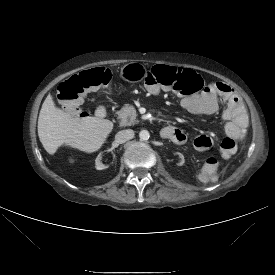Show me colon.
I'll return each mask as SVG.
<instances>
[{
    "label": "colon",
    "mask_w": 275,
    "mask_h": 275,
    "mask_svg": "<svg viewBox=\"0 0 275 275\" xmlns=\"http://www.w3.org/2000/svg\"><path fill=\"white\" fill-rule=\"evenodd\" d=\"M110 79L111 72L105 67L82 71L70 76L60 84L58 97L70 105L69 108L74 114L81 116L82 114H79L81 99L88 92L107 85ZM202 88L203 81L201 77L189 69L157 65L146 76V90L152 96H159L162 89L176 94L188 95L197 93ZM239 144L236 139L224 138L220 144L223 156L229 158L235 155Z\"/></svg>",
    "instance_id": "1"
}]
</instances>
